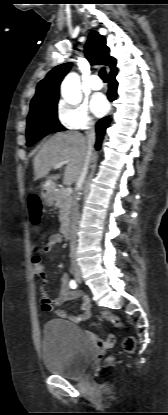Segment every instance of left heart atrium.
Wrapping results in <instances>:
<instances>
[{"mask_svg":"<svg viewBox=\"0 0 168 415\" xmlns=\"http://www.w3.org/2000/svg\"><path fill=\"white\" fill-rule=\"evenodd\" d=\"M91 109L98 117L105 115L109 109V104L105 96L102 94H95L91 99Z\"/></svg>","mask_w":168,"mask_h":415,"instance_id":"obj_1","label":"left heart atrium"}]
</instances>
